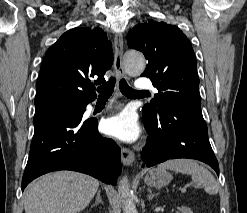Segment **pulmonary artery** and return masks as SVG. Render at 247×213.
<instances>
[{
  "mask_svg": "<svg viewBox=\"0 0 247 213\" xmlns=\"http://www.w3.org/2000/svg\"><path fill=\"white\" fill-rule=\"evenodd\" d=\"M136 90H139V91L152 90L153 92L157 93V89L153 87L151 80L146 77L140 78L137 81ZM89 109L92 110L93 107L91 106Z\"/></svg>",
  "mask_w": 247,
  "mask_h": 213,
  "instance_id": "e3ab8cb5",
  "label": "pulmonary artery"
}]
</instances>
